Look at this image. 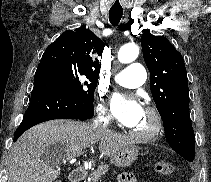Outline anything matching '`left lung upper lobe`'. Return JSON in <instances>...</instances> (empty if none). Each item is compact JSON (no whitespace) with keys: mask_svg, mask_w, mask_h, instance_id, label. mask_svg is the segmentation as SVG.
<instances>
[{"mask_svg":"<svg viewBox=\"0 0 211 182\" xmlns=\"http://www.w3.org/2000/svg\"><path fill=\"white\" fill-rule=\"evenodd\" d=\"M141 45L166 140L175 152L192 162L195 135L189 114L188 79L183 57L167 38L154 36L147 30L141 36Z\"/></svg>","mask_w":211,"mask_h":182,"instance_id":"left-lung-upper-lobe-1","label":"left lung upper lobe"}]
</instances>
